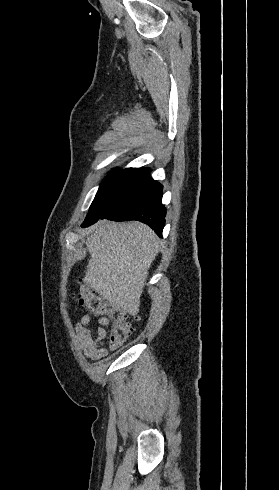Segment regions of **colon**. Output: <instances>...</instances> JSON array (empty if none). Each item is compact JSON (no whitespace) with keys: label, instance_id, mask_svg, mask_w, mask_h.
<instances>
[{"label":"colon","instance_id":"1","mask_svg":"<svg viewBox=\"0 0 279 490\" xmlns=\"http://www.w3.org/2000/svg\"><path fill=\"white\" fill-rule=\"evenodd\" d=\"M80 299L89 314L109 320L110 327L108 331L111 348L118 349L133 334L134 328L128 322L125 312L102 299L89 286L81 287Z\"/></svg>","mask_w":279,"mask_h":490}]
</instances>
